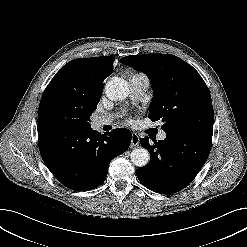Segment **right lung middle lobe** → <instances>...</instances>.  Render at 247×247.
Here are the masks:
<instances>
[{"mask_svg":"<svg viewBox=\"0 0 247 247\" xmlns=\"http://www.w3.org/2000/svg\"><path fill=\"white\" fill-rule=\"evenodd\" d=\"M101 93L82 80L72 61L65 64L46 87L38 109V120L82 130L90 127V116L97 108Z\"/></svg>","mask_w":247,"mask_h":247,"instance_id":"1","label":"right lung middle lobe"}]
</instances>
